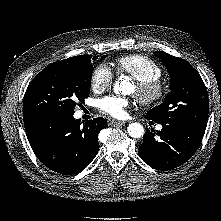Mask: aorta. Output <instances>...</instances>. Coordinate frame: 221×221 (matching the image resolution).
Wrapping results in <instances>:
<instances>
[{
  "label": "aorta",
  "mask_w": 221,
  "mask_h": 221,
  "mask_svg": "<svg viewBox=\"0 0 221 221\" xmlns=\"http://www.w3.org/2000/svg\"><path fill=\"white\" fill-rule=\"evenodd\" d=\"M129 84V78L124 76L116 82L114 90L118 93L124 86ZM128 134L133 138H140L144 135V127L139 123H131L127 128Z\"/></svg>",
  "instance_id": "aorta-1"
}]
</instances>
